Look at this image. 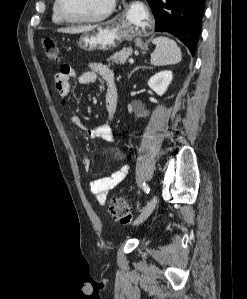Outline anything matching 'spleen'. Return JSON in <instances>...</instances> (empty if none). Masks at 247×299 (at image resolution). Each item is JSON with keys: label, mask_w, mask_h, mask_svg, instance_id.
Returning a JSON list of instances; mask_svg holds the SVG:
<instances>
[{"label": "spleen", "mask_w": 247, "mask_h": 299, "mask_svg": "<svg viewBox=\"0 0 247 299\" xmlns=\"http://www.w3.org/2000/svg\"><path fill=\"white\" fill-rule=\"evenodd\" d=\"M152 42L156 45L155 50L151 54L152 65H173L181 61V50L174 40L167 37H157Z\"/></svg>", "instance_id": "obj_1"}]
</instances>
